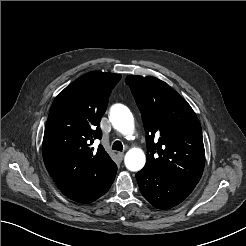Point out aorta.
<instances>
[{
    "label": "aorta",
    "mask_w": 246,
    "mask_h": 246,
    "mask_svg": "<svg viewBox=\"0 0 246 246\" xmlns=\"http://www.w3.org/2000/svg\"><path fill=\"white\" fill-rule=\"evenodd\" d=\"M109 119L113 127L123 135L134 132V118L130 110L122 105L115 104L111 107ZM146 162V156L142 149L131 148L125 155L124 163L128 170L137 172L141 170Z\"/></svg>",
    "instance_id": "762f6f07"
}]
</instances>
